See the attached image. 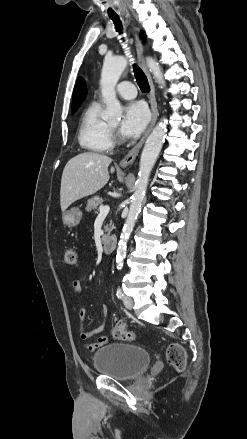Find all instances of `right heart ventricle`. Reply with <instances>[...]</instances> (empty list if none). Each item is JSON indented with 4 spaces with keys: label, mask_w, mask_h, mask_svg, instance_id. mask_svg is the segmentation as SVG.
Segmentation results:
<instances>
[{
    "label": "right heart ventricle",
    "mask_w": 247,
    "mask_h": 439,
    "mask_svg": "<svg viewBox=\"0 0 247 439\" xmlns=\"http://www.w3.org/2000/svg\"><path fill=\"white\" fill-rule=\"evenodd\" d=\"M77 138L80 146L91 152H107L113 147L110 124L102 116L98 102H92L83 111L78 126Z\"/></svg>",
    "instance_id": "e07e8e85"
}]
</instances>
